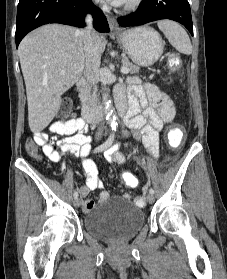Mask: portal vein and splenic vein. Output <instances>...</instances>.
<instances>
[{
    "mask_svg": "<svg viewBox=\"0 0 227 279\" xmlns=\"http://www.w3.org/2000/svg\"><path fill=\"white\" fill-rule=\"evenodd\" d=\"M121 72L124 73V74H128L129 69H128L127 67L122 66V67H121ZM63 73H64V72L62 71L61 74H63Z\"/></svg>",
    "mask_w": 227,
    "mask_h": 279,
    "instance_id": "obj_1",
    "label": "portal vein and splenic vein"
}]
</instances>
